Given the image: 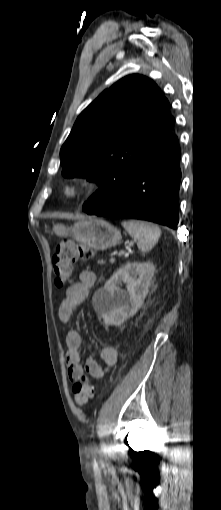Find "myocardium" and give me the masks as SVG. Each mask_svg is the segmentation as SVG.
<instances>
[{
  "label": "myocardium",
  "instance_id": "f54148a6",
  "mask_svg": "<svg viewBox=\"0 0 221 510\" xmlns=\"http://www.w3.org/2000/svg\"><path fill=\"white\" fill-rule=\"evenodd\" d=\"M92 183L85 177H72L62 186V198L66 201H78L91 189Z\"/></svg>",
  "mask_w": 221,
  "mask_h": 510
}]
</instances>
